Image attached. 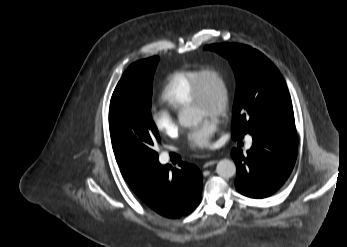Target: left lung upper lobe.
<instances>
[{"label":"left lung upper lobe","instance_id":"1","mask_svg":"<svg viewBox=\"0 0 347 247\" xmlns=\"http://www.w3.org/2000/svg\"><path fill=\"white\" fill-rule=\"evenodd\" d=\"M205 48L226 57L235 73L233 139L270 127L296 129L286 83L266 56L236 43L212 44Z\"/></svg>","mask_w":347,"mask_h":247}]
</instances>
